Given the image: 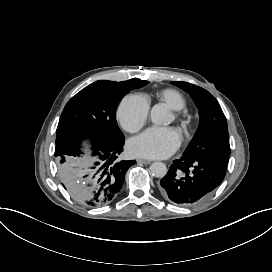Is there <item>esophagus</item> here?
<instances>
[{"mask_svg": "<svg viewBox=\"0 0 272 272\" xmlns=\"http://www.w3.org/2000/svg\"><path fill=\"white\" fill-rule=\"evenodd\" d=\"M137 162L142 163V164H150L151 163V161L147 160V159H137Z\"/></svg>", "mask_w": 272, "mask_h": 272, "instance_id": "34e87169", "label": "esophagus"}]
</instances>
